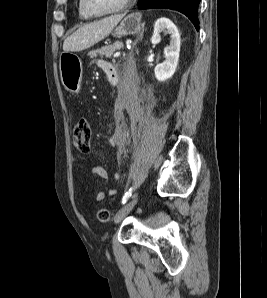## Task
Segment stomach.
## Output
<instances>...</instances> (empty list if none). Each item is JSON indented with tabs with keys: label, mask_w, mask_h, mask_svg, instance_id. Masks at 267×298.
Wrapping results in <instances>:
<instances>
[{
	"label": "stomach",
	"mask_w": 267,
	"mask_h": 298,
	"mask_svg": "<svg viewBox=\"0 0 267 298\" xmlns=\"http://www.w3.org/2000/svg\"><path fill=\"white\" fill-rule=\"evenodd\" d=\"M141 13L127 15L113 30L112 35L120 38L127 35L140 34L144 25L141 23ZM60 76L65 89L71 93H79L82 80V66L80 59L70 52L60 56Z\"/></svg>",
	"instance_id": "obj_1"
}]
</instances>
